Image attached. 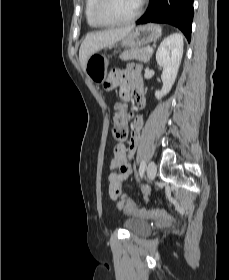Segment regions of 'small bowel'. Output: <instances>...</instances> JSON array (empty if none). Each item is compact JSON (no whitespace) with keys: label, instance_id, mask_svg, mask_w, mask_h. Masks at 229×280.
I'll list each match as a JSON object with an SVG mask.
<instances>
[{"label":"small bowel","instance_id":"small-bowel-1","mask_svg":"<svg viewBox=\"0 0 229 280\" xmlns=\"http://www.w3.org/2000/svg\"><path fill=\"white\" fill-rule=\"evenodd\" d=\"M115 88L119 89L123 99H126L132 90L138 107L143 108L145 106V88L141 76V67L138 64L131 63L125 70H114L110 73L105 83V89L112 91ZM116 110L117 112L123 111L127 114L125 107L120 103L116 105ZM143 124L144 121L141 117L135 118L132 123V137L129 146L126 147L123 143L115 145L113 157L109 165L111 170V173L108 175L109 191L117 189L119 194H121L123 182L131 175L132 166L128 161V157H132L137 150ZM112 198H116V196H112Z\"/></svg>","mask_w":229,"mask_h":280}]
</instances>
